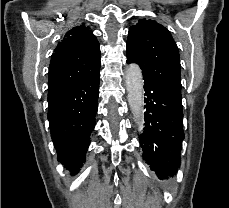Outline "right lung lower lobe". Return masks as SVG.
<instances>
[{
	"instance_id": "right-lung-lower-lobe-1",
	"label": "right lung lower lobe",
	"mask_w": 229,
	"mask_h": 208,
	"mask_svg": "<svg viewBox=\"0 0 229 208\" xmlns=\"http://www.w3.org/2000/svg\"><path fill=\"white\" fill-rule=\"evenodd\" d=\"M100 67L90 77L48 97V120L58 161L78 173L95 127Z\"/></svg>"
}]
</instances>
